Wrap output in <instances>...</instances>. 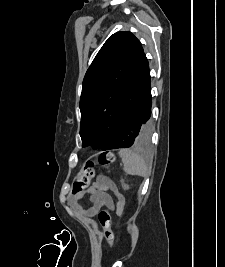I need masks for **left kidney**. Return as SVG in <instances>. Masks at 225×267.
Segmentation results:
<instances>
[{"mask_svg": "<svg viewBox=\"0 0 225 267\" xmlns=\"http://www.w3.org/2000/svg\"><path fill=\"white\" fill-rule=\"evenodd\" d=\"M123 187H124V189H129L128 185H124Z\"/></svg>", "mask_w": 225, "mask_h": 267, "instance_id": "left-kidney-1", "label": "left kidney"}]
</instances>
